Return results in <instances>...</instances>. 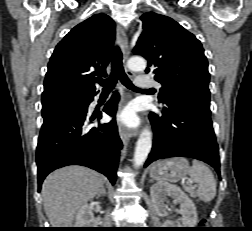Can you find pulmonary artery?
<instances>
[{
  "instance_id": "pulmonary-artery-1",
  "label": "pulmonary artery",
  "mask_w": 252,
  "mask_h": 231,
  "mask_svg": "<svg viewBox=\"0 0 252 231\" xmlns=\"http://www.w3.org/2000/svg\"><path fill=\"white\" fill-rule=\"evenodd\" d=\"M136 84L139 88H157L160 89L161 84L154 81L146 75H139L136 79Z\"/></svg>"
}]
</instances>
